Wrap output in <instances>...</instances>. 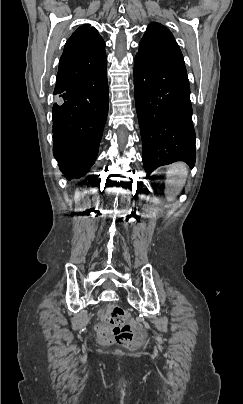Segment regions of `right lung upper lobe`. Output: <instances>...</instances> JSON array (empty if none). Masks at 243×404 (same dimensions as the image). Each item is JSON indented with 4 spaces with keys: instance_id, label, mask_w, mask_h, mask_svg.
<instances>
[{
    "instance_id": "obj_1",
    "label": "right lung upper lobe",
    "mask_w": 243,
    "mask_h": 404,
    "mask_svg": "<svg viewBox=\"0 0 243 404\" xmlns=\"http://www.w3.org/2000/svg\"><path fill=\"white\" fill-rule=\"evenodd\" d=\"M106 64L105 43L98 31L89 24L80 26L65 44L54 92L95 75Z\"/></svg>"
}]
</instances>
